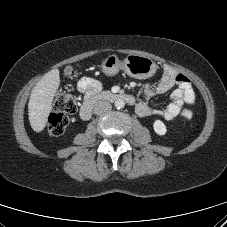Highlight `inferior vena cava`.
Wrapping results in <instances>:
<instances>
[{
  "label": "inferior vena cava",
  "instance_id": "1",
  "mask_svg": "<svg viewBox=\"0 0 227 227\" xmlns=\"http://www.w3.org/2000/svg\"><path fill=\"white\" fill-rule=\"evenodd\" d=\"M112 109V106L107 101H98L94 106V113L99 115L108 112Z\"/></svg>",
  "mask_w": 227,
  "mask_h": 227
}]
</instances>
